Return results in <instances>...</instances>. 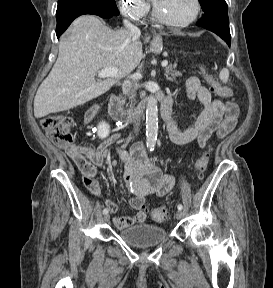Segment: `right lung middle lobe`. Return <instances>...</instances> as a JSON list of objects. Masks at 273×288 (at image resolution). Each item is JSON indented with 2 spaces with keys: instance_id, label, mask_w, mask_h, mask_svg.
<instances>
[{
  "instance_id": "obj_1",
  "label": "right lung middle lobe",
  "mask_w": 273,
  "mask_h": 288,
  "mask_svg": "<svg viewBox=\"0 0 273 288\" xmlns=\"http://www.w3.org/2000/svg\"><path fill=\"white\" fill-rule=\"evenodd\" d=\"M84 11L100 15H119L115 0H58L56 18Z\"/></svg>"
}]
</instances>
